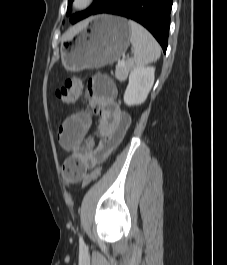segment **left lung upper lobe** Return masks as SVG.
Listing matches in <instances>:
<instances>
[{"mask_svg": "<svg viewBox=\"0 0 227 265\" xmlns=\"http://www.w3.org/2000/svg\"><path fill=\"white\" fill-rule=\"evenodd\" d=\"M107 0H95L94 3L86 10L75 15H72L70 18L71 23H76L77 21L91 15L97 8H99ZM73 0H68V5H70ZM69 10V8H68Z\"/></svg>", "mask_w": 227, "mask_h": 265, "instance_id": "1", "label": "left lung upper lobe"}]
</instances>
